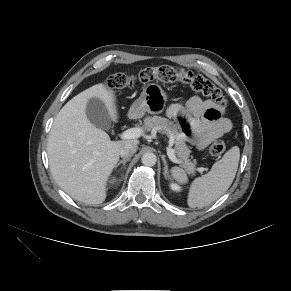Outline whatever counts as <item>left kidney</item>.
<instances>
[{"label": "left kidney", "instance_id": "left-kidney-1", "mask_svg": "<svg viewBox=\"0 0 291 291\" xmlns=\"http://www.w3.org/2000/svg\"><path fill=\"white\" fill-rule=\"evenodd\" d=\"M170 187L174 191H180L181 190V187L179 185L175 184V183H171Z\"/></svg>", "mask_w": 291, "mask_h": 291}]
</instances>
